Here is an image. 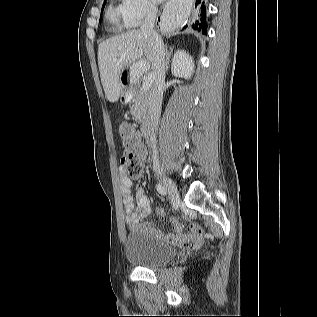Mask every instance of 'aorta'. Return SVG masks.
Returning a JSON list of instances; mask_svg holds the SVG:
<instances>
[{"label":"aorta","instance_id":"obj_1","mask_svg":"<svg viewBox=\"0 0 317 317\" xmlns=\"http://www.w3.org/2000/svg\"><path fill=\"white\" fill-rule=\"evenodd\" d=\"M181 23V17L177 11L170 10L164 16L163 26L165 30H172Z\"/></svg>","mask_w":317,"mask_h":317}]
</instances>
